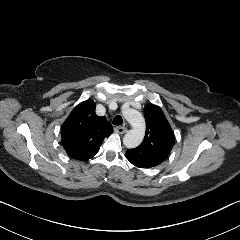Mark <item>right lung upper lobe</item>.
I'll return each mask as SVG.
<instances>
[{"mask_svg":"<svg viewBox=\"0 0 240 240\" xmlns=\"http://www.w3.org/2000/svg\"><path fill=\"white\" fill-rule=\"evenodd\" d=\"M96 104L87 100L76 106L61 127L62 143L67 154L86 161L99 151L105 137L113 132L105 117L95 114Z\"/></svg>","mask_w":240,"mask_h":240,"instance_id":"obj_1","label":"right lung upper lobe"}]
</instances>
